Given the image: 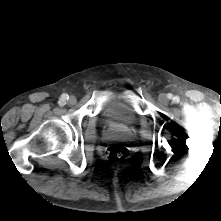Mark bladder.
<instances>
[{
	"label": "bladder",
	"instance_id": "31cf9c89",
	"mask_svg": "<svg viewBox=\"0 0 221 221\" xmlns=\"http://www.w3.org/2000/svg\"><path fill=\"white\" fill-rule=\"evenodd\" d=\"M101 117L108 128H133L138 124V116L132 106L119 97H113L101 109Z\"/></svg>",
	"mask_w": 221,
	"mask_h": 221
}]
</instances>
